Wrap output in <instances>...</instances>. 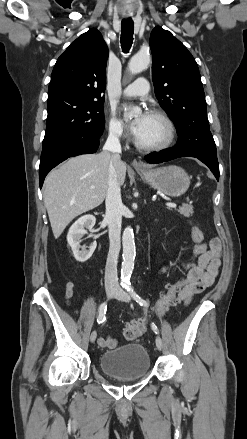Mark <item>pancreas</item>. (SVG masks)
I'll return each mask as SVG.
<instances>
[{
  "label": "pancreas",
  "mask_w": 247,
  "mask_h": 439,
  "mask_svg": "<svg viewBox=\"0 0 247 439\" xmlns=\"http://www.w3.org/2000/svg\"><path fill=\"white\" fill-rule=\"evenodd\" d=\"M177 212L183 215L184 217H190L193 214V206L190 204H183Z\"/></svg>",
  "instance_id": "pancreas-1"
}]
</instances>
